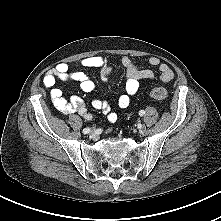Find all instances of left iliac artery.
Instances as JSON below:
<instances>
[{"label":"left iliac artery","mask_w":221,"mask_h":221,"mask_svg":"<svg viewBox=\"0 0 221 221\" xmlns=\"http://www.w3.org/2000/svg\"><path fill=\"white\" fill-rule=\"evenodd\" d=\"M144 114H145V111H144V110L139 111V115H140V116H143Z\"/></svg>","instance_id":"44dca946"}]
</instances>
